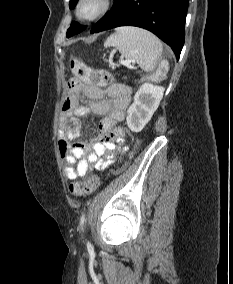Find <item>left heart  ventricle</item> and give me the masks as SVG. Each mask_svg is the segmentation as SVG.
<instances>
[{
  "instance_id": "b2bd125f",
  "label": "left heart ventricle",
  "mask_w": 233,
  "mask_h": 284,
  "mask_svg": "<svg viewBox=\"0 0 233 284\" xmlns=\"http://www.w3.org/2000/svg\"><path fill=\"white\" fill-rule=\"evenodd\" d=\"M96 9V4L94 2H88L83 6V13L85 14H91L92 12H94V10Z\"/></svg>"
}]
</instances>
